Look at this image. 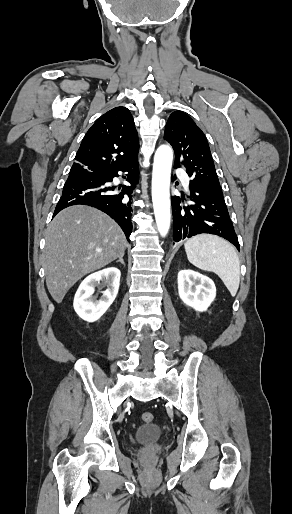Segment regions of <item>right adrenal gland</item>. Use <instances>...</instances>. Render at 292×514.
<instances>
[{
	"label": "right adrenal gland",
	"instance_id": "right-adrenal-gland-1",
	"mask_svg": "<svg viewBox=\"0 0 292 514\" xmlns=\"http://www.w3.org/2000/svg\"><path fill=\"white\" fill-rule=\"evenodd\" d=\"M117 262H121V264H123L124 268L126 266L124 260H123V256H120L119 260H117Z\"/></svg>",
	"mask_w": 292,
	"mask_h": 514
}]
</instances>
